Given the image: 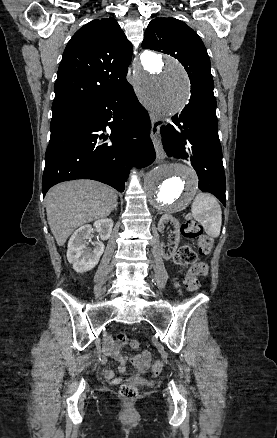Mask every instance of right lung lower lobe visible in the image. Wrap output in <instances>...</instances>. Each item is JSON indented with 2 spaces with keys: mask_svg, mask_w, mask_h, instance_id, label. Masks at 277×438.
Listing matches in <instances>:
<instances>
[{
  "mask_svg": "<svg viewBox=\"0 0 277 438\" xmlns=\"http://www.w3.org/2000/svg\"><path fill=\"white\" fill-rule=\"evenodd\" d=\"M149 129L148 113L127 81L80 104L51 125L43 196L53 185L74 179L97 180L123 192L131 166L145 167L155 159Z\"/></svg>",
  "mask_w": 277,
  "mask_h": 438,
  "instance_id": "98d812e1",
  "label": "right lung lower lobe"
}]
</instances>
